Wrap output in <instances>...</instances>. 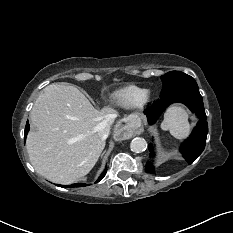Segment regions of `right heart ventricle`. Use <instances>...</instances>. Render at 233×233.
I'll return each instance as SVG.
<instances>
[{
    "mask_svg": "<svg viewBox=\"0 0 233 233\" xmlns=\"http://www.w3.org/2000/svg\"><path fill=\"white\" fill-rule=\"evenodd\" d=\"M147 91L143 88L130 85L119 90L114 91L110 99L114 103L133 107L140 105L146 98Z\"/></svg>",
    "mask_w": 233,
    "mask_h": 233,
    "instance_id": "e07e8e85",
    "label": "right heart ventricle"
}]
</instances>
